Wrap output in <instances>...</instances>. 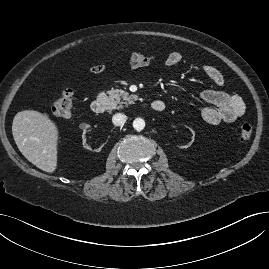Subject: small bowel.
<instances>
[{"mask_svg":"<svg viewBox=\"0 0 269 269\" xmlns=\"http://www.w3.org/2000/svg\"><path fill=\"white\" fill-rule=\"evenodd\" d=\"M156 60L155 55L143 52H133L129 56V65L137 69L151 65ZM182 60L178 52H171L166 57V65L173 67L178 65ZM106 69L104 64L94 65L89 68L91 74H99ZM204 74L216 85L224 84L222 72L212 65H202ZM200 99L205 103L201 109V118L210 125L220 123H232L240 118L245 110L244 100L236 95L219 90H204L200 93Z\"/></svg>","mask_w":269,"mask_h":269,"instance_id":"obj_1","label":"small bowel"}]
</instances>
